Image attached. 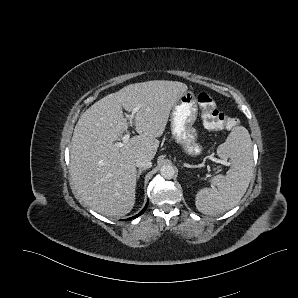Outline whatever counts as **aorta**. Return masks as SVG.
Segmentation results:
<instances>
[{
	"label": "aorta",
	"mask_w": 298,
	"mask_h": 298,
	"mask_svg": "<svg viewBox=\"0 0 298 298\" xmlns=\"http://www.w3.org/2000/svg\"><path fill=\"white\" fill-rule=\"evenodd\" d=\"M160 175L167 180L173 179L175 176V168L172 165L165 164L160 168Z\"/></svg>",
	"instance_id": "obj_1"
}]
</instances>
